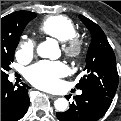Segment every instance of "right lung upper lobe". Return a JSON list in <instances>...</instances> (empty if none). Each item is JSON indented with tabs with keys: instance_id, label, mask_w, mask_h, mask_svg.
Wrapping results in <instances>:
<instances>
[{
	"instance_id": "obj_1",
	"label": "right lung upper lobe",
	"mask_w": 121,
	"mask_h": 121,
	"mask_svg": "<svg viewBox=\"0 0 121 121\" xmlns=\"http://www.w3.org/2000/svg\"><path fill=\"white\" fill-rule=\"evenodd\" d=\"M33 12L29 11H17L1 18V30L9 27L13 23H17L25 17L29 16Z\"/></svg>"
}]
</instances>
